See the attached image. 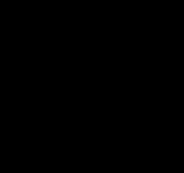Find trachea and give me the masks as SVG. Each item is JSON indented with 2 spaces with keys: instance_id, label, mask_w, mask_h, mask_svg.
<instances>
[{
  "instance_id": "obj_1",
  "label": "trachea",
  "mask_w": 184,
  "mask_h": 173,
  "mask_svg": "<svg viewBox=\"0 0 184 173\" xmlns=\"http://www.w3.org/2000/svg\"><path fill=\"white\" fill-rule=\"evenodd\" d=\"M96 109L101 111V112H104L105 111V108L103 106H96ZM71 115L73 116H76V115H79V114H82V106H76L74 107L72 110H71Z\"/></svg>"
}]
</instances>
